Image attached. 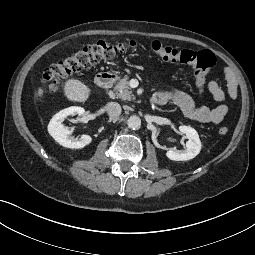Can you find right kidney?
<instances>
[{"label":"right kidney","mask_w":255,"mask_h":255,"mask_svg":"<svg viewBox=\"0 0 255 255\" xmlns=\"http://www.w3.org/2000/svg\"><path fill=\"white\" fill-rule=\"evenodd\" d=\"M85 113L84 108L78 106H72L59 111L53 116L48 124L49 134L56 140L60 145L71 148L81 149L89 145L92 138L89 135H82L79 139L70 137L71 131L63 126V121L67 116L79 115L82 116Z\"/></svg>","instance_id":"obj_1"}]
</instances>
